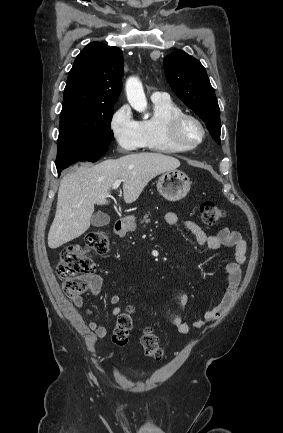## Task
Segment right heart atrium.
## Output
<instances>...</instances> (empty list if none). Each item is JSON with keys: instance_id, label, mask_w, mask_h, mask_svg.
I'll return each instance as SVG.
<instances>
[{"instance_id": "d8ad5b80", "label": "right heart atrium", "mask_w": 283, "mask_h": 433, "mask_svg": "<svg viewBox=\"0 0 283 433\" xmlns=\"http://www.w3.org/2000/svg\"><path fill=\"white\" fill-rule=\"evenodd\" d=\"M108 126L116 151L120 155L138 151L141 145L146 144L141 122L134 117L128 104L114 108Z\"/></svg>"}]
</instances>
